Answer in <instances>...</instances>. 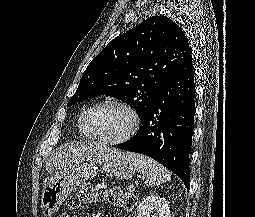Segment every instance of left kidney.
Returning a JSON list of instances; mask_svg holds the SVG:
<instances>
[{
  "mask_svg": "<svg viewBox=\"0 0 255 217\" xmlns=\"http://www.w3.org/2000/svg\"><path fill=\"white\" fill-rule=\"evenodd\" d=\"M137 217H171L169 202L155 195L147 196L139 203Z\"/></svg>",
  "mask_w": 255,
  "mask_h": 217,
  "instance_id": "5707ae66",
  "label": "left kidney"
}]
</instances>
